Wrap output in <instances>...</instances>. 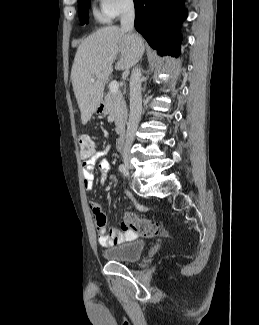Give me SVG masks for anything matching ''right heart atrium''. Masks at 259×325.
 <instances>
[{
    "instance_id": "obj_1",
    "label": "right heart atrium",
    "mask_w": 259,
    "mask_h": 325,
    "mask_svg": "<svg viewBox=\"0 0 259 325\" xmlns=\"http://www.w3.org/2000/svg\"><path fill=\"white\" fill-rule=\"evenodd\" d=\"M99 13L103 19L112 20L133 6V0H97Z\"/></svg>"
}]
</instances>
